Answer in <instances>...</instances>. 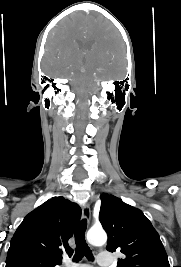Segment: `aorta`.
Here are the masks:
<instances>
[{
	"label": "aorta",
	"mask_w": 181,
	"mask_h": 267,
	"mask_svg": "<svg viewBox=\"0 0 181 267\" xmlns=\"http://www.w3.org/2000/svg\"><path fill=\"white\" fill-rule=\"evenodd\" d=\"M87 240L91 245L102 246L107 241V235L104 230L91 229L87 233Z\"/></svg>",
	"instance_id": "obj_1"
}]
</instances>
